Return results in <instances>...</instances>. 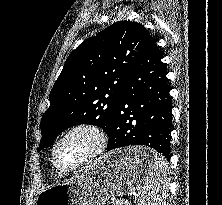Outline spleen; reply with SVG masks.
Masks as SVG:
<instances>
[{
	"label": "spleen",
	"instance_id": "spleen-1",
	"mask_svg": "<svg viewBox=\"0 0 222 205\" xmlns=\"http://www.w3.org/2000/svg\"><path fill=\"white\" fill-rule=\"evenodd\" d=\"M148 169L145 177V188L137 196V205H166L168 192V165L159 154L147 157Z\"/></svg>",
	"mask_w": 222,
	"mask_h": 205
}]
</instances>
